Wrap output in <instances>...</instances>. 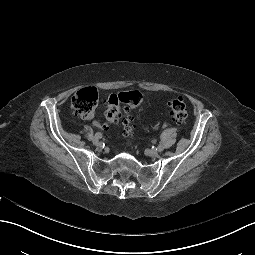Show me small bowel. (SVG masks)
I'll use <instances>...</instances> for the list:
<instances>
[{
  "mask_svg": "<svg viewBox=\"0 0 255 255\" xmlns=\"http://www.w3.org/2000/svg\"><path fill=\"white\" fill-rule=\"evenodd\" d=\"M94 124H95V125H99V122H98V121H95Z\"/></svg>",
  "mask_w": 255,
  "mask_h": 255,
  "instance_id": "1",
  "label": "small bowel"
}]
</instances>
